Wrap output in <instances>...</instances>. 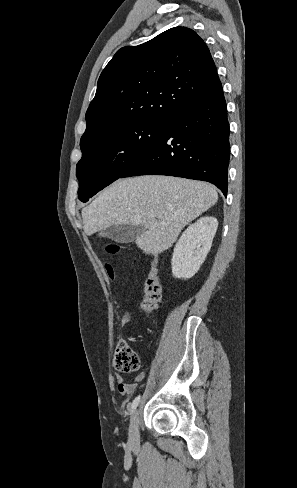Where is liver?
<instances>
[{
  "label": "liver",
  "instance_id": "liver-1",
  "mask_svg": "<svg viewBox=\"0 0 297 488\" xmlns=\"http://www.w3.org/2000/svg\"><path fill=\"white\" fill-rule=\"evenodd\" d=\"M217 200L215 188L205 182L152 175L119 179L82 209L84 232L92 235L113 225L142 224L135 243L146 254L156 255L170 248L181 230Z\"/></svg>",
  "mask_w": 297,
  "mask_h": 488
}]
</instances>
